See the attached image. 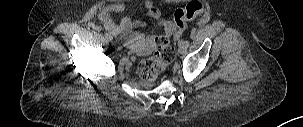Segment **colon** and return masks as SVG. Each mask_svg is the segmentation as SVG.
I'll list each match as a JSON object with an SVG mask.
<instances>
[{
    "label": "colon",
    "instance_id": "colon-1",
    "mask_svg": "<svg viewBox=\"0 0 303 127\" xmlns=\"http://www.w3.org/2000/svg\"><path fill=\"white\" fill-rule=\"evenodd\" d=\"M204 7L199 2H191L186 7L178 9L174 14V21L178 28L186 27L188 21L203 14ZM153 56L143 59L137 66L138 75L146 82H153L165 67L172 62L175 57V50L168 39L156 37L153 40Z\"/></svg>",
    "mask_w": 303,
    "mask_h": 127
}]
</instances>
